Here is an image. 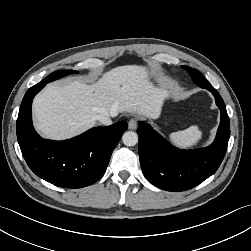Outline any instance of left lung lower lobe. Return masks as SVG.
<instances>
[{
    "instance_id": "obj_1",
    "label": "left lung lower lobe",
    "mask_w": 251,
    "mask_h": 251,
    "mask_svg": "<svg viewBox=\"0 0 251 251\" xmlns=\"http://www.w3.org/2000/svg\"><path fill=\"white\" fill-rule=\"evenodd\" d=\"M215 97L221 121L214 142L205 148L181 150L172 146L149 124L139 122V158L142 171L153 185L179 192L194 188L219 168L230 137V122L224 101L209 83H199Z\"/></svg>"
}]
</instances>
